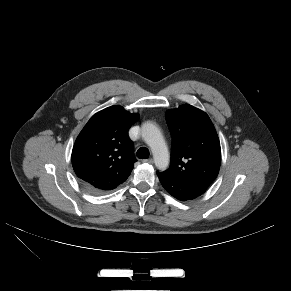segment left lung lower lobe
<instances>
[{"label": "left lung lower lobe", "instance_id": "0a47b994", "mask_svg": "<svg viewBox=\"0 0 291 291\" xmlns=\"http://www.w3.org/2000/svg\"><path fill=\"white\" fill-rule=\"evenodd\" d=\"M157 175L165 190L178 200H193L205 192V189L175 179L164 172H157Z\"/></svg>", "mask_w": 291, "mask_h": 291}]
</instances>
